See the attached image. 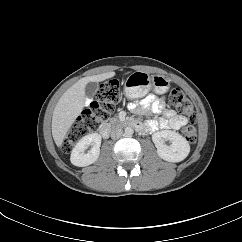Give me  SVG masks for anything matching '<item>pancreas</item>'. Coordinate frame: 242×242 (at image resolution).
Here are the masks:
<instances>
[{"label": "pancreas", "mask_w": 242, "mask_h": 242, "mask_svg": "<svg viewBox=\"0 0 242 242\" xmlns=\"http://www.w3.org/2000/svg\"><path fill=\"white\" fill-rule=\"evenodd\" d=\"M115 123H121V121L118 120V118L116 117L110 120V124H115Z\"/></svg>", "instance_id": "obj_1"}]
</instances>
